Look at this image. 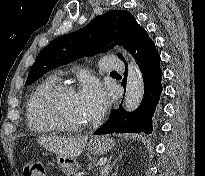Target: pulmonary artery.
<instances>
[{
  "label": "pulmonary artery",
  "instance_id": "obj_1",
  "mask_svg": "<svg viewBox=\"0 0 205 176\" xmlns=\"http://www.w3.org/2000/svg\"><path fill=\"white\" fill-rule=\"evenodd\" d=\"M100 68L103 73L109 72V71H123L125 66H124V61L122 58L110 54V55H105L100 61Z\"/></svg>",
  "mask_w": 205,
  "mask_h": 176
}]
</instances>
